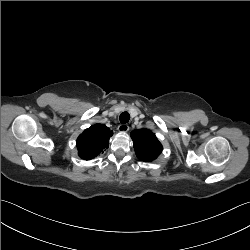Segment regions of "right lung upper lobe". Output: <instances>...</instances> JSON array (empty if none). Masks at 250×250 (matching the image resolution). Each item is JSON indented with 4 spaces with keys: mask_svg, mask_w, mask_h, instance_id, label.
Here are the masks:
<instances>
[{
    "mask_svg": "<svg viewBox=\"0 0 250 250\" xmlns=\"http://www.w3.org/2000/svg\"><path fill=\"white\" fill-rule=\"evenodd\" d=\"M112 135L113 132L103 124H95L84 130L77 139L79 156L85 160L96 157L109 147V138Z\"/></svg>",
    "mask_w": 250,
    "mask_h": 250,
    "instance_id": "obj_1",
    "label": "right lung upper lobe"
}]
</instances>
